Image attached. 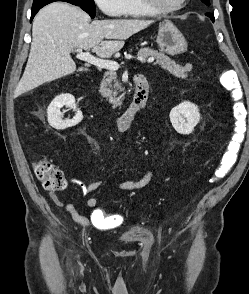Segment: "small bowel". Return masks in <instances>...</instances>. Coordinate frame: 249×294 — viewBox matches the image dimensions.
<instances>
[{"mask_svg":"<svg viewBox=\"0 0 249 294\" xmlns=\"http://www.w3.org/2000/svg\"><path fill=\"white\" fill-rule=\"evenodd\" d=\"M161 182L159 180L153 179V171L149 170L145 173V175L140 178L139 180H125L121 181L117 184V188L121 191H135L142 189L148 185H160ZM101 186L100 182H93L90 183L85 187V191L87 193L93 192L97 190ZM52 198L57 201L56 196H52ZM86 205L93 209L90 218L82 215L77 208L72 203H65L63 204L64 210L70 214L73 221L77 224L81 225L82 227H88L90 225L94 226L100 230H107L113 229L118 227L121 222L122 218L118 215H110L106 214L99 206V200L92 196L87 198Z\"/></svg>","mask_w":249,"mask_h":294,"instance_id":"1","label":"small bowel"}]
</instances>
